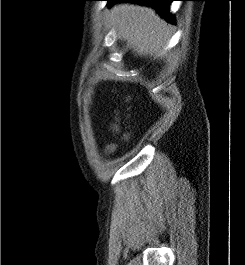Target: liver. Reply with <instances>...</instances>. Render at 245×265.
Listing matches in <instances>:
<instances>
[{
  "label": "liver",
  "instance_id": "obj_1",
  "mask_svg": "<svg viewBox=\"0 0 245 265\" xmlns=\"http://www.w3.org/2000/svg\"><path fill=\"white\" fill-rule=\"evenodd\" d=\"M109 21L117 36L139 55L163 54L170 39V27L154 9L131 3L111 8Z\"/></svg>",
  "mask_w": 245,
  "mask_h": 265
}]
</instances>
